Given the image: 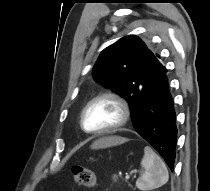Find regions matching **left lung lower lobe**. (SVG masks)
<instances>
[{
    "label": "left lung lower lobe",
    "instance_id": "0a47b994",
    "mask_svg": "<svg viewBox=\"0 0 210 191\" xmlns=\"http://www.w3.org/2000/svg\"><path fill=\"white\" fill-rule=\"evenodd\" d=\"M166 73L165 67L157 70L156 85L139 103L136 119L132 123L136 132L158 151L173 170L177 128Z\"/></svg>",
    "mask_w": 210,
    "mask_h": 191
}]
</instances>
